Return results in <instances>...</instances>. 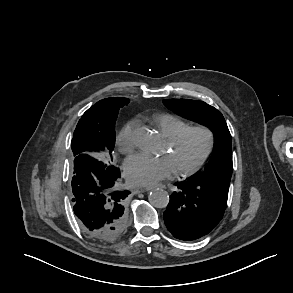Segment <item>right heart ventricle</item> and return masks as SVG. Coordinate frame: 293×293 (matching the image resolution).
Instances as JSON below:
<instances>
[{"mask_svg": "<svg viewBox=\"0 0 293 293\" xmlns=\"http://www.w3.org/2000/svg\"><path fill=\"white\" fill-rule=\"evenodd\" d=\"M152 121L166 139L189 126L187 121L173 114H156L152 117Z\"/></svg>", "mask_w": 293, "mask_h": 293, "instance_id": "right-heart-ventricle-1", "label": "right heart ventricle"}]
</instances>
